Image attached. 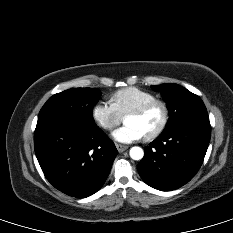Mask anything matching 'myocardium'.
<instances>
[{
  "label": "myocardium",
  "mask_w": 233,
  "mask_h": 233,
  "mask_svg": "<svg viewBox=\"0 0 233 233\" xmlns=\"http://www.w3.org/2000/svg\"><path fill=\"white\" fill-rule=\"evenodd\" d=\"M156 105L160 106L162 109V112H163L162 121H161L160 125L152 133L144 136V139L147 141H151V140L156 139L166 129V127L168 125V121H169V107H168L167 103L164 100L155 98V99L147 101V102L143 103L142 105L132 109L131 111H129L125 115V118L128 116H140V115L144 114L145 112H147L149 109H151L153 106H156Z\"/></svg>",
  "instance_id": "1"
}]
</instances>
